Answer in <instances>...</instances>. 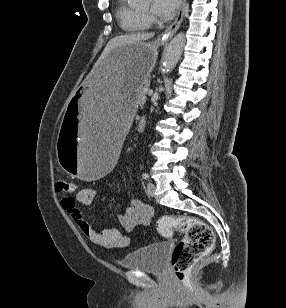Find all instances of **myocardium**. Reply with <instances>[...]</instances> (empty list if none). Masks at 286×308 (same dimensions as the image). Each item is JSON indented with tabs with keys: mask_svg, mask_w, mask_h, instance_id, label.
Returning a JSON list of instances; mask_svg holds the SVG:
<instances>
[{
	"mask_svg": "<svg viewBox=\"0 0 286 308\" xmlns=\"http://www.w3.org/2000/svg\"><path fill=\"white\" fill-rule=\"evenodd\" d=\"M141 14H142L144 17H146L147 19L149 18L148 12H141Z\"/></svg>",
	"mask_w": 286,
	"mask_h": 308,
	"instance_id": "myocardium-1",
	"label": "myocardium"
}]
</instances>
